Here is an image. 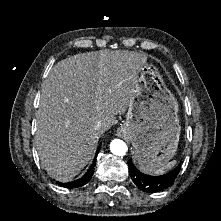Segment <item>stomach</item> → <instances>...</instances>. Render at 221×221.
I'll return each instance as SVG.
<instances>
[{"label":"stomach","mask_w":221,"mask_h":221,"mask_svg":"<svg viewBox=\"0 0 221 221\" xmlns=\"http://www.w3.org/2000/svg\"><path fill=\"white\" fill-rule=\"evenodd\" d=\"M118 132L132 143L134 159L146 172L166 164L177 151L181 133L178 102L151 63L140 67L126 120Z\"/></svg>","instance_id":"1"}]
</instances>
